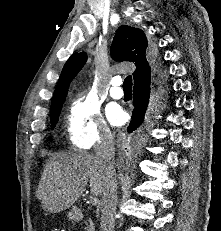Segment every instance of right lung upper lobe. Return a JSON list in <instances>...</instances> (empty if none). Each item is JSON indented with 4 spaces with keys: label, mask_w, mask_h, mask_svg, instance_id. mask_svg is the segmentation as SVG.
<instances>
[{
    "label": "right lung upper lobe",
    "mask_w": 221,
    "mask_h": 231,
    "mask_svg": "<svg viewBox=\"0 0 221 231\" xmlns=\"http://www.w3.org/2000/svg\"><path fill=\"white\" fill-rule=\"evenodd\" d=\"M148 42L141 29L122 25L118 28L111 45V56L116 61H131L136 65L133 73L134 87L149 82L156 71V64L146 59ZM87 60L85 52L74 53L64 65L56 86L51 109L65 100L68 86Z\"/></svg>",
    "instance_id": "right-lung-upper-lobe-1"
}]
</instances>
